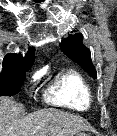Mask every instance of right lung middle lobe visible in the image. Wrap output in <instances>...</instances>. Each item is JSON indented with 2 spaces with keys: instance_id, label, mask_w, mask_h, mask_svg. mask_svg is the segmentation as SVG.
Instances as JSON below:
<instances>
[{
  "instance_id": "right-lung-middle-lobe-1",
  "label": "right lung middle lobe",
  "mask_w": 117,
  "mask_h": 136,
  "mask_svg": "<svg viewBox=\"0 0 117 136\" xmlns=\"http://www.w3.org/2000/svg\"><path fill=\"white\" fill-rule=\"evenodd\" d=\"M29 67L24 68H3L0 76V96H12L20 91L25 79V72Z\"/></svg>"
}]
</instances>
